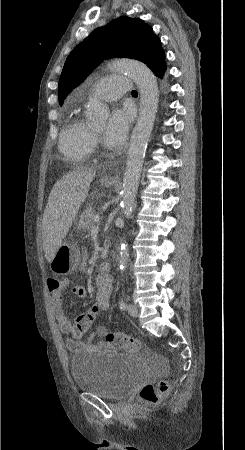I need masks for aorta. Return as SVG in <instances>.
<instances>
[{"mask_svg":"<svg viewBox=\"0 0 245 450\" xmlns=\"http://www.w3.org/2000/svg\"><path fill=\"white\" fill-rule=\"evenodd\" d=\"M110 70L126 72L137 84L141 95L140 113L130 140L121 191V204L126 214L131 212L138 191L145 151L156 117L159 90L154 74L143 63L120 59L110 64ZM88 117L93 122L102 123L108 117V109L99 100H91L88 104ZM128 256L127 244L123 242L119 256L121 270L126 268Z\"/></svg>","mask_w":245,"mask_h":450,"instance_id":"aorta-1","label":"aorta"}]
</instances>
